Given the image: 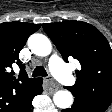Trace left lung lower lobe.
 I'll return each mask as SVG.
<instances>
[{
	"instance_id": "left-lung-lower-lobe-1",
	"label": "left lung lower lobe",
	"mask_w": 112,
	"mask_h": 112,
	"mask_svg": "<svg viewBox=\"0 0 112 112\" xmlns=\"http://www.w3.org/2000/svg\"><path fill=\"white\" fill-rule=\"evenodd\" d=\"M109 105V102L102 100L75 97L72 107L61 112H105Z\"/></svg>"
}]
</instances>
